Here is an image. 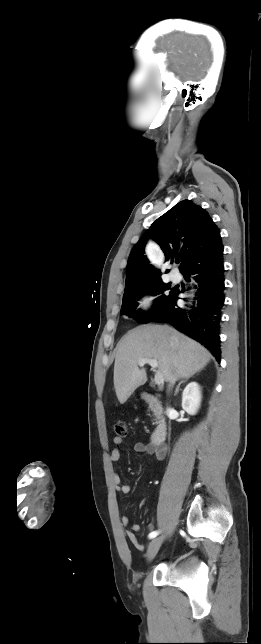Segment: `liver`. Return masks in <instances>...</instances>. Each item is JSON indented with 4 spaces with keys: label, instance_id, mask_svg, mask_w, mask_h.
Here are the masks:
<instances>
[{
    "label": "liver",
    "instance_id": "obj_1",
    "mask_svg": "<svg viewBox=\"0 0 261 644\" xmlns=\"http://www.w3.org/2000/svg\"><path fill=\"white\" fill-rule=\"evenodd\" d=\"M156 359L165 382L193 376L210 361V353L198 342L166 325H142L129 331L116 347L114 388L124 404L147 381L138 360Z\"/></svg>",
    "mask_w": 261,
    "mask_h": 644
}]
</instances>
